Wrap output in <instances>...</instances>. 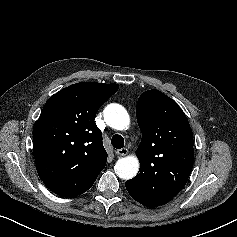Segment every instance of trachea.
<instances>
[{
  "instance_id": "3493384b",
  "label": "trachea",
  "mask_w": 237,
  "mask_h": 237,
  "mask_svg": "<svg viewBox=\"0 0 237 237\" xmlns=\"http://www.w3.org/2000/svg\"><path fill=\"white\" fill-rule=\"evenodd\" d=\"M111 144L114 148L121 149L124 147V138L119 134H115L111 139Z\"/></svg>"
}]
</instances>
